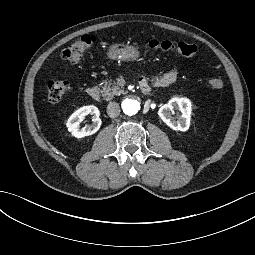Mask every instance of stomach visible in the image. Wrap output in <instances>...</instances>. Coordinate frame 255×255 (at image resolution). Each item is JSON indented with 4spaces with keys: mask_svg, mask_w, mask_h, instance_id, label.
Segmentation results:
<instances>
[{
    "mask_svg": "<svg viewBox=\"0 0 255 255\" xmlns=\"http://www.w3.org/2000/svg\"><path fill=\"white\" fill-rule=\"evenodd\" d=\"M107 57L112 60L135 61L139 58V50L128 44H114L109 47Z\"/></svg>",
    "mask_w": 255,
    "mask_h": 255,
    "instance_id": "0dacf381",
    "label": "stomach"
}]
</instances>
